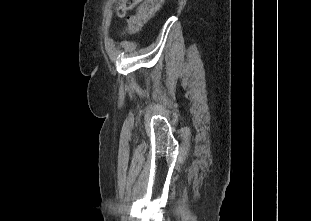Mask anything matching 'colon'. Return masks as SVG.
<instances>
[{
    "label": "colon",
    "mask_w": 311,
    "mask_h": 221,
    "mask_svg": "<svg viewBox=\"0 0 311 221\" xmlns=\"http://www.w3.org/2000/svg\"><path fill=\"white\" fill-rule=\"evenodd\" d=\"M136 2L137 0L115 1L114 10L117 12L116 14L118 16L121 14L120 12H130L131 8H136ZM164 2L165 0H142L138 7L137 13L128 19V24L125 28V31L130 34L140 31L162 7Z\"/></svg>",
    "instance_id": "colon-1"
}]
</instances>
